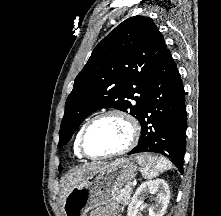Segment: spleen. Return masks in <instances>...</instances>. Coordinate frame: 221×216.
I'll use <instances>...</instances> for the list:
<instances>
[{
  "label": "spleen",
  "instance_id": "spleen-1",
  "mask_svg": "<svg viewBox=\"0 0 221 216\" xmlns=\"http://www.w3.org/2000/svg\"><path fill=\"white\" fill-rule=\"evenodd\" d=\"M134 159L141 166V172L145 179H152L164 171L172 169V164L164 157L140 154L136 155Z\"/></svg>",
  "mask_w": 221,
  "mask_h": 216
}]
</instances>
